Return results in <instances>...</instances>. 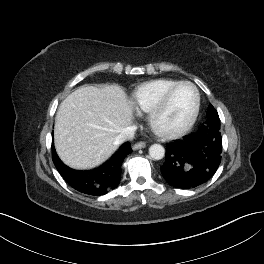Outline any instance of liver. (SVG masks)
<instances>
[{"label":"liver","mask_w":264,"mask_h":264,"mask_svg":"<svg viewBox=\"0 0 264 264\" xmlns=\"http://www.w3.org/2000/svg\"><path fill=\"white\" fill-rule=\"evenodd\" d=\"M132 119L133 104L120 86L79 87L56 114L57 154L74 169L94 168L118 149L115 139Z\"/></svg>","instance_id":"obj_1"}]
</instances>
